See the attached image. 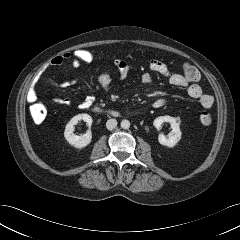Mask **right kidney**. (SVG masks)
Instances as JSON below:
<instances>
[{"label": "right kidney", "instance_id": "right-kidney-1", "mask_svg": "<svg viewBox=\"0 0 240 240\" xmlns=\"http://www.w3.org/2000/svg\"><path fill=\"white\" fill-rule=\"evenodd\" d=\"M84 120L89 127L92 125V117L88 114H78L74 116L66 125L65 131H64V137L66 141L74 146L75 148L81 149L86 147L91 143L92 140V133L90 130H88L83 135H76L73 133L74 131V125L78 123V121Z\"/></svg>", "mask_w": 240, "mask_h": 240}]
</instances>
